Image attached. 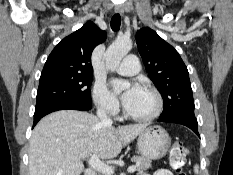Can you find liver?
I'll list each match as a JSON object with an SVG mask.
<instances>
[{
  "instance_id": "6515ba94",
  "label": "liver",
  "mask_w": 233,
  "mask_h": 175,
  "mask_svg": "<svg viewBox=\"0 0 233 175\" xmlns=\"http://www.w3.org/2000/svg\"><path fill=\"white\" fill-rule=\"evenodd\" d=\"M146 124L113 127L93 114L61 110L45 116L32 132L29 148L30 175H80L82 159L118 156Z\"/></svg>"
}]
</instances>
